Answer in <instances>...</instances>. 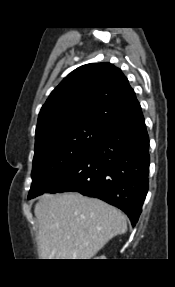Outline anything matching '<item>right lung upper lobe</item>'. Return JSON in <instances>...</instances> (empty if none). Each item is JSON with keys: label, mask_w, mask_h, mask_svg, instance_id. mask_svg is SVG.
<instances>
[{"label": "right lung upper lobe", "mask_w": 175, "mask_h": 287, "mask_svg": "<svg viewBox=\"0 0 175 287\" xmlns=\"http://www.w3.org/2000/svg\"><path fill=\"white\" fill-rule=\"evenodd\" d=\"M141 110L122 71L110 63L86 64L72 71L42 106L36 136L57 126L100 122L114 125Z\"/></svg>", "instance_id": "obj_1"}]
</instances>
